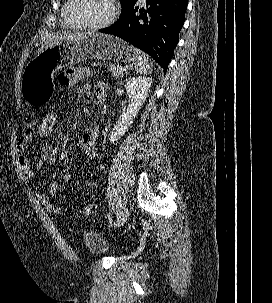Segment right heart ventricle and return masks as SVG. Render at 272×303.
<instances>
[{
    "label": "right heart ventricle",
    "mask_w": 272,
    "mask_h": 303,
    "mask_svg": "<svg viewBox=\"0 0 272 303\" xmlns=\"http://www.w3.org/2000/svg\"><path fill=\"white\" fill-rule=\"evenodd\" d=\"M61 25L64 27V28H69L70 26L64 21L63 19V10H62V14H61Z\"/></svg>",
    "instance_id": "obj_1"
}]
</instances>
